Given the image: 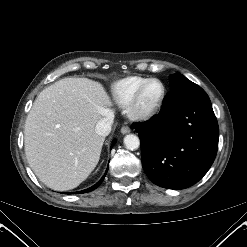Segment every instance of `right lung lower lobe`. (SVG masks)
Returning a JSON list of instances; mask_svg holds the SVG:
<instances>
[{
  "label": "right lung lower lobe",
  "mask_w": 247,
  "mask_h": 247,
  "mask_svg": "<svg viewBox=\"0 0 247 247\" xmlns=\"http://www.w3.org/2000/svg\"><path fill=\"white\" fill-rule=\"evenodd\" d=\"M113 144H115V141L113 142ZM106 173H107V171L105 172V174H104V176L101 178V180H100L98 183H96L94 186H92L91 188H88V189H86V190L76 192V193H85V192H90V191L96 189V188L102 183V181L104 180V178H105V176H106Z\"/></svg>",
  "instance_id": "1"
}]
</instances>
